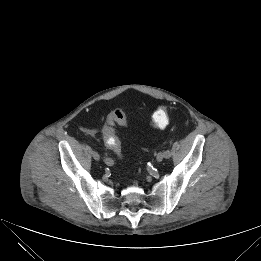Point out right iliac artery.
Returning a JSON list of instances; mask_svg holds the SVG:
<instances>
[{
	"label": "right iliac artery",
	"instance_id": "obj_1",
	"mask_svg": "<svg viewBox=\"0 0 261 261\" xmlns=\"http://www.w3.org/2000/svg\"><path fill=\"white\" fill-rule=\"evenodd\" d=\"M102 158H103V161L105 162V164H107L109 166L114 164V161L111 158H109L105 155H102Z\"/></svg>",
	"mask_w": 261,
	"mask_h": 261
}]
</instances>
